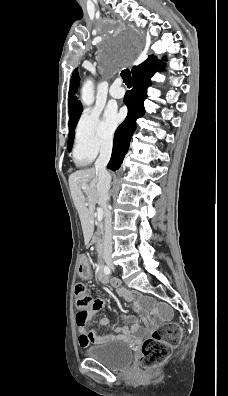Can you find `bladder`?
<instances>
[{"label": "bladder", "mask_w": 228, "mask_h": 396, "mask_svg": "<svg viewBox=\"0 0 228 396\" xmlns=\"http://www.w3.org/2000/svg\"><path fill=\"white\" fill-rule=\"evenodd\" d=\"M85 354L112 369H123L133 361V350L126 340H109L86 349Z\"/></svg>", "instance_id": "obj_1"}]
</instances>
